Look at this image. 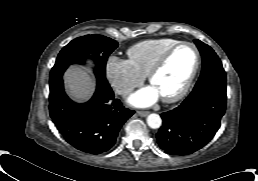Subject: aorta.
Returning a JSON list of instances; mask_svg holds the SVG:
<instances>
[{"instance_id": "1", "label": "aorta", "mask_w": 258, "mask_h": 181, "mask_svg": "<svg viewBox=\"0 0 258 181\" xmlns=\"http://www.w3.org/2000/svg\"><path fill=\"white\" fill-rule=\"evenodd\" d=\"M147 124L152 129H157L161 126L162 120L158 114L152 113L147 117Z\"/></svg>"}]
</instances>
